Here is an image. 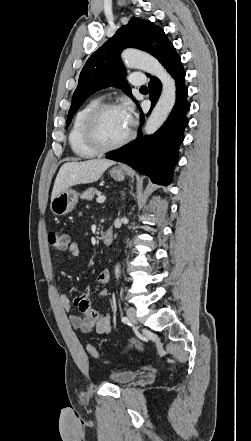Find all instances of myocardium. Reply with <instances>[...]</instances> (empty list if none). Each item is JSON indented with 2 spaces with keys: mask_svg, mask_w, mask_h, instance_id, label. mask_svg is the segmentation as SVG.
<instances>
[{
  "mask_svg": "<svg viewBox=\"0 0 251 441\" xmlns=\"http://www.w3.org/2000/svg\"><path fill=\"white\" fill-rule=\"evenodd\" d=\"M121 108L118 104L114 102H103L96 105L91 111L87 114L84 125H83V137L86 144L96 151L97 153H105L109 151H113L121 148L126 145L134 136V130L130 126L129 132L127 135L122 138L120 141L111 144L105 145L103 144L96 133V123L98 118L107 110L118 109Z\"/></svg>",
  "mask_w": 251,
  "mask_h": 441,
  "instance_id": "myocardium-1",
  "label": "myocardium"
}]
</instances>
